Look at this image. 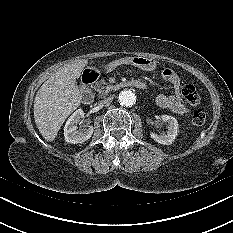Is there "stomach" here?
Listing matches in <instances>:
<instances>
[{"label": "stomach", "mask_w": 233, "mask_h": 233, "mask_svg": "<svg viewBox=\"0 0 233 233\" xmlns=\"http://www.w3.org/2000/svg\"><path fill=\"white\" fill-rule=\"evenodd\" d=\"M118 65H134L142 70L152 71L156 68V61L150 57H136L133 54L115 55L112 57L111 61L106 63L105 68L107 71L112 72Z\"/></svg>", "instance_id": "obj_1"}]
</instances>
